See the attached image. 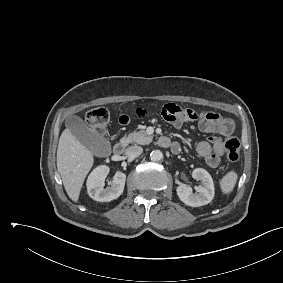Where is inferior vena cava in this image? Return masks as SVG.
<instances>
[{"instance_id": "obj_1", "label": "inferior vena cava", "mask_w": 283, "mask_h": 283, "mask_svg": "<svg viewBox=\"0 0 283 283\" xmlns=\"http://www.w3.org/2000/svg\"><path fill=\"white\" fill-rule=\"evenodd\" d=\"M143 152V149L141 146H130L127 148L126 150V155L129 157V158H136L138 157L141 153Z\"/></svg>"}]
</instances>
